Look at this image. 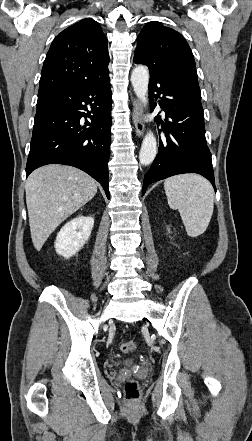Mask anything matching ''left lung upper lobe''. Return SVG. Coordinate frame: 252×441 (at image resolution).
I'll list each match as a JSON object with an SVG mask.
<instances>
[{
    "label": "left lung upper lobe",
    "mask_w": 252,
    "mask_h": 441,
    "mask_svg": "<svg viewBox=\"0 0 252 441\" xmlns=\"http://www.w3.org/2000/svg\"><path fill=\"white\" fill-rule=\"evenodd\" d=\"M134 62L148 66L150 76L175 71L199 87L192 51L184 37L159 22L147 23L137 37Z\"/></svg>",
    "instance_id": "obj_1"
}]
</instances>
